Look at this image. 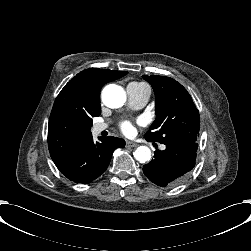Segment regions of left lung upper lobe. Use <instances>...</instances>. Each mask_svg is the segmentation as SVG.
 Instances as JSON below:
<instances>
[{
	"label": "left lung upper lobe",
	"instance_id": "obj_1",
	"mask_svg": "<svg viewBox=\"0 0 251 251\" xmlns=\"http://www.w3.org/2000/svg\"><path fill=\"white\" fill-rule=\"evenodd\" d=\"M155 93L156 119L145 138L161 144L197 142L199 112L187 90L166 76H146Z\"/></svg>",
	"mask_w": 251,
	"mask_h": 251
}]
</instances>
